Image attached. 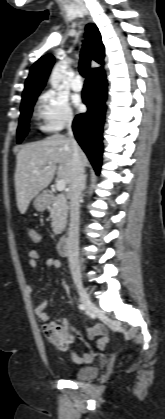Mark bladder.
Instances as JSON below:
<instances>
[{
    "label": "bladder",
    "instance_id": "31cf9c89",
    "mask_svg": "<svg viewBox=\"0 0 165 419\" xmlns=\"http://www.w3.org/2000/svg\"><path fill=\"white\" fill-rule=\"evenodd\" d=\"M98 371L96 366H87L74 371L72 377L77 380H89L95 378Z\"/></svg>",
    "mask_w": 165,
    "mask_h": 419
}]
</instances>
